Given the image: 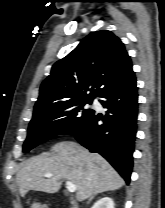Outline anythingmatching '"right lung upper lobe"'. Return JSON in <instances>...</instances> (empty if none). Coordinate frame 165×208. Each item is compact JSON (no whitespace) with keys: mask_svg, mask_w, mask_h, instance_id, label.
Instances as JSON below:
<instances>
[{"mask_svg":"<svg viewBox=\"0 0 165 208\" xmlns=\"http://www.w3.org/2000/svg\"><path fill=\"white\" fill-rule=\"evenodd\" d=\"M133 73L124 44L111 31L86 36L66 57L57 61L43 81L34 111L72 100H93ZM90 94H86L87 91Z\"/></svg>","mask_w":165,"mask_h":208,"instance_id":"cb5924a9","label":"right lung upper lobe"}]
</instances>
